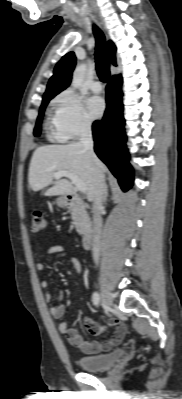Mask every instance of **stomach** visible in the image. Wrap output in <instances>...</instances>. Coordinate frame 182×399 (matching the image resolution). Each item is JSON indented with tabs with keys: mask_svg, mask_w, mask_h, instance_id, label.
<instances>
[{
	"mask_svg": "<svg viewBox=\"0 0 182 399\" xmlns=\"http://www.w3.org/2000/svg\"><path fill=\"white\" fill-rule=\"evenodd\" d=\"M56 204H57L59 207H65V206H67V205H68L67 198H66L65 196H61V197L57 198V199H56Z\"/></svg>",
	"mask_w": 182,
	"mask_h": 399,
	"instance_id": "stomach-1",
	"label": "stomach"
}]
</instances>
